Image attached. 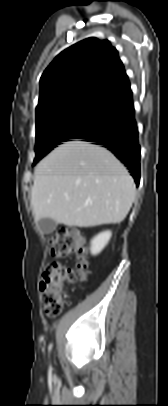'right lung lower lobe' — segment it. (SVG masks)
<instances>
[{"mask_svg":"<svg viewBox=\"0 0 168 406\" xmlns=\"http://www.w3.org/2000/svg\"><path fill=\"white\" fill-rule=\"evenodd\" d=\"M108 117L97 127L79 137L110 150L140 181V145L131 89L107 101Z\"/></svg>","mask_w":168,"mask_h":406,"instance_id":"98d812e1","label":"right lung lower lobe"}]
</instances>
